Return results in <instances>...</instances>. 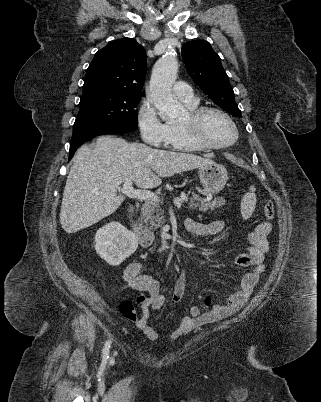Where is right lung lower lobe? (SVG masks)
I'll return each mask as SVG.
<instances>
[{
  "instance_id": "98d812e1",
  "label": "right lung lower lobe",
  "mask_w": 321,
  "mask_h": 402,
  "mask_svg": "<svg viewBox=\"0 0 321 402\" xmlns=\"http://www.w3.org/2000/svg\"><path fill=\"white\" fill-rule=\"evenodd\" d=\"M135 129L136 128L126 124H99L74 127L70 142L69 160L83 143L96 136L105 134H121L131 132Z\"/></svg>"
}]
</instances>
